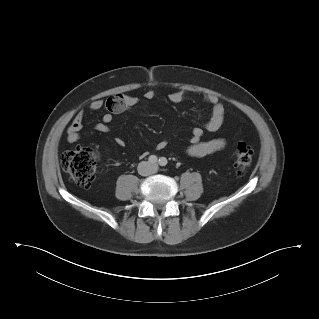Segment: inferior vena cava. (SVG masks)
I'll use <instances>...</instances> for the list:
<instances>
[{
  "mask_svg": "<svg viewBox=\"0 0 319 319\" xmlns=\"http://www.w3.org/2000/svg\"><path fill=\"white\" fill-rule=\"evenodd\" d=\"M138 173L142 176H148L154 173L153 166L147 161L140 162L138 165Z\"/></svg>",
  "mask_w": 319,
  "mask_h": 319,
  "instance_id": "1",
  "label": "inferior vena cava"
}]
</instances>
